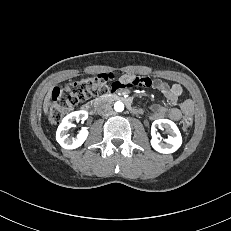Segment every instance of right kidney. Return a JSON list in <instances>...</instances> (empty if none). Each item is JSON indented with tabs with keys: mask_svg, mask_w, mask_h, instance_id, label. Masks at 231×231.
<instances>
[{
	"mask_svg": "<svg viewBox=\"0 0 231 231\" xmlns=\"http://www.w3.org/2000/svg\"><path fill=\"white\" fill-rule=\"evenodd\" d=\"M88 118L86 111H75L68 114L62 120L56 132L57 142L65 149H76L80 147L88 136V130L82 128L75 137H69L68 130L73 126V121L84 122Z\"/></svg>",
	"mask_w": 231,
	"mask_h": 231,
	"instance_id": "obj_1",
	"label": "right kidney"
}]
</instances>
